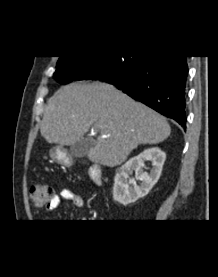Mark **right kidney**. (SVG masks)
<instances>
[{
	"instance_id": "1",
	"label": "right kidney",
	"mask_w": 218,
	"mask_h": 277,
	"mask_svg": "<svg viewBox=\"0 0 218 277\" xmlns=\"http://www.w3.org/2000/svg\"><path fill=\"white\" fill-rule=\"evenodd\" d=\"M166 154L158 147L144 150L138 156L130 158L117 171L113 186V199L118 203L127 206L146 196L158 181ZM152 161L150 173L143 170L145 161ZM135 171V178H130ZM136 180H140L138 186Z\"/></svg>"
}]
</instances>
